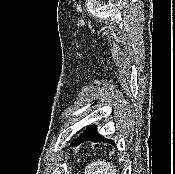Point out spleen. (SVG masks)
<instances>
[{
    "label": "spleen",
    "mask_w": 175,
    "mask_h": 174,
    "mask_svg": "<svg viewBox=\"0 0 175 174\" xmlns=\"http://www.w3.org/2000/svg\"><path fill=\"white\" fill-rule=\"evenodd\" d=\"M85 174H116V167L105 160H98L89 163L84 170Z\"/></svg>",
    "instance_id": "1"
}]
</instances>
